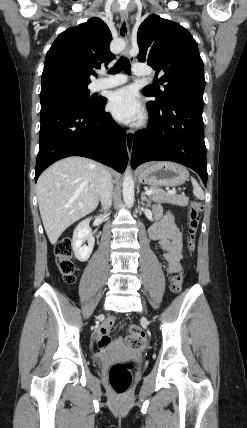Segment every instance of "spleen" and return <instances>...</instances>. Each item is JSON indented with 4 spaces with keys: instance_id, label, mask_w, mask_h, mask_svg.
<instances>
[{
    "instance_id": "obj_1",
    "label": "spleen",
    "mask_w": 247,
    "mask_h": 428,
    "mask_svg": "<svg viewBox=\"0 0 247 428\" xmlns=\"http://www.w3.org/2000/svg\"><path fill=\"white\" fill-rule=\"evenodd\" d=\"M192 185H193V194L200 200L204 199V192L202 188L199 186L198 182L192 178L191 179Z\"/></svg>"
}]
</instances>
